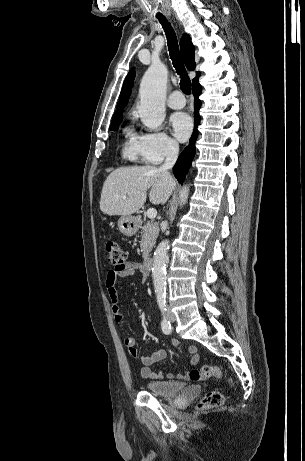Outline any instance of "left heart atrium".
<instances>
[{
    "instance_id": "left-heart-atrium-1",
    "label": "left heart atrium",
    "mask_w": 305,
    "mask_h": 461,
    "mask_svg": "<svg viewBox=\"0 0 305 461\" xmlns=\"http://www.w3.org/2000/svg\"><path fill=\"white\" fill-rule=\"evenodd\" d=\"M170 124L174 136L179 141H185L190 136L192 120L187 114L183 112L174 113L170 118Z\"/></svg>"
}]
</instances>
